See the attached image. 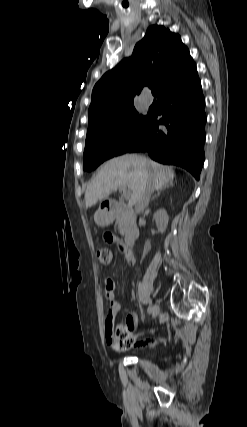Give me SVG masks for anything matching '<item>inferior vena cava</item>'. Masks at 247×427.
I'll return each mask as SVG.
<instances>
[{
    "instance_id": "inferior-vena-cava-1",
    "label": "inferior vena cava",
    "mask_w": 247,
    "mask_h": 427,
    "mask_svg": "<svg viewBox=\"0 0 247 427\" xmlns=\"http://www.w3.org/2000/svg\"><path fill=\"white\" fill-rule=\"evenodd\" d=\"M152 192L153 185L151 180H148L144 191L141 193V195L137 198L135 202L136 213L140 214L148 206Z\"/></svg>"
}]
</instances>
